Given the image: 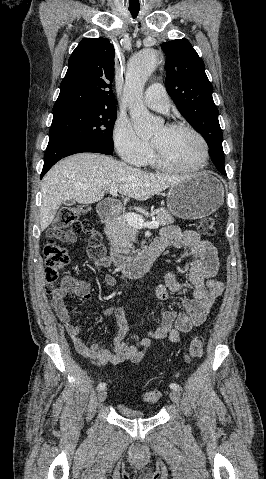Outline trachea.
Returning <instances> with one entry per match:
<instances>
[{"label":"trachea","mask_w":266,"mask_h":479,"mask_svg":"<svg viewBox=\"0 0 266 479\" xmlns=\"http://www.w3.org/2000/svg\"><path fill=\"white\" fill-rule=\"evenodd\" d=\"M129 11L133 18H136L139 13V9L129 8Z\"/></svg>","instance_id":"1"}]
</instances>
